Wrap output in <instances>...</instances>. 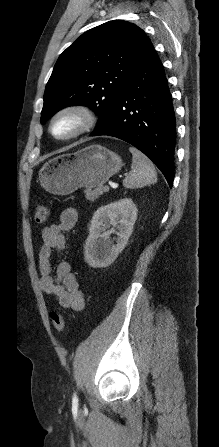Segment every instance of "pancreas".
<instances>
[{
	"label": "pancreas",
	"instance_id": "cf45deb5",
	"mask_svg": "<svg viewBox=\"0 0 219 447\" xmlns=\"http://www.w3.org/2000/svg\"><path fill=\"white\" fill-rule=\"evenodd\" d=\"M103 194V189L101 187H97L94 190L88 188L85 190V197L87 200L95 201L97 198H99L100 195Z\"/></svg>",
	"mask_w": 219,
	"mask_h": 447
}]
</instances>
